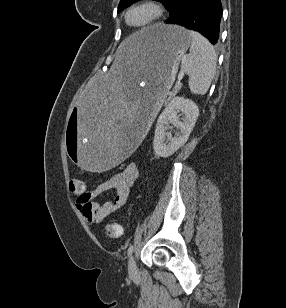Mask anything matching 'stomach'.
<instances>
[{"mask_svg":"<svg viewBox=\"0 0 286 308\" xmlns=\"http://www.w3.org/2000/svg\"><path fill=\"white\" fill-rule=\"evenodd\" d=\"M137 35L120 44L106 81H94L70 112L64 149L82 173L119 168L135 153L192 41L185 28L164 23Z\"/></svg>","mask_w":286,"mask_h":308,"instance_id":"0dacf381","label":"stomach"}]
</instances>
